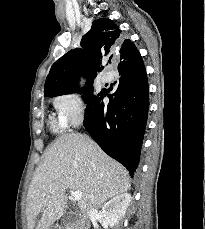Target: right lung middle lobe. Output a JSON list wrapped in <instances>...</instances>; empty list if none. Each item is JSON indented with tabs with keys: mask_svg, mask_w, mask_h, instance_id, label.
Returning <instances> with one entry per match:
<instances>
[{
	"mask_svg": "<svg viewBox=\"0 0 205 229\" xmlns=\"http://www.w3.org/2000/svg\"><path fill=\"white\" fill-rule=\"evenodd\" d=\"M75 91H73V92H75ZM92 91H93V85L92 84L86 85L85 88L82 90V93H85V95L83 97L90 95Z\"/></svg>",
	"mask_w": 205,
	"mask_h": 229,
	"instance_id": "dd1d6c3e",
	"label": "right lung middle lobe"
}]
</instances>
